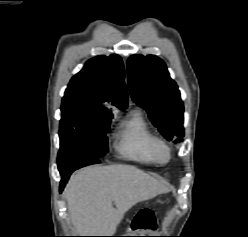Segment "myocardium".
Here are the masks:
<instances>
[{"label": "myocardium", "instance_id": "1", "mask_svg": "<svg viewBox=\"0 0 248 237\" xmlns=\"http://www.w3.org/2000/svg\"><path fill=\"white\" fill-rule=\"evenodd\" d=\"M159 149L164 150V157H161L159 155ZM149 152L154 163H157L159 165L168 164L172 158L171 147L169 146L168 142L162 137L153 136L149 144Z\"/></svg>", "mask_w": 248, "mask_h": 237}]
</instances>
